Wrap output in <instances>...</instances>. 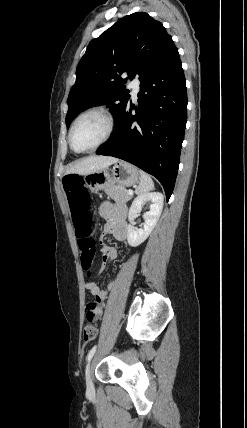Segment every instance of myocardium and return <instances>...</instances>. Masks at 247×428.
Returning a JSON list of instances; mask_svg holds the SVG:
<instances>
[{"label": "myocardium", "mask_w": 247, "mask_h": 428, "mask_svg": "<svg viewBox=\"0 0 247 428\" xmlns=\"http://www.w3.org/2000/svg\"><path fill=\"white\" fill-rule=\"evenodd\" d=\"M91 114H98L100 116H102L106 123H107V130L106 133L104 135V137L94 146L87 148V149H78L75 147L74 143H73V132L74 129L77 125V123L85 116L91 115ZM115 130V118L114 115L105 107H91L89 109L84 110L83 112H81L80 114H78L76 116V118L74 119V121L71 124L70 130H69V135H68V141L70 144V147L78 153H86V152H91L94 151L96 149H98L99 147H101L102 145H104L113 135Z\"/></svg>", "instance_id": "obj_1"}]
</instances>
